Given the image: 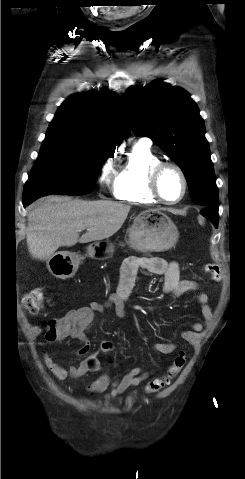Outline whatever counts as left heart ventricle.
<instances>
[{
  "label": "left heart ventricle",
  "instance_id": "left-heart-ventricle-1",
  "mask_svg": "<svg viewBox=\"0 0 245 479\" xmlns=\"http://www.w3.org/2000/svg\"><path fill=\"white\" fill-rule=\"evenodd\" d=\"M160 190L163 196L170 201L178 199L182 193V182L176 171L168 169L160 181Z\"/></svg>",
  "mask_w": 245,
  "mask_h": 479
}]
</instances>
